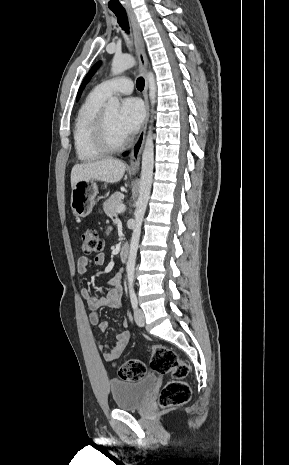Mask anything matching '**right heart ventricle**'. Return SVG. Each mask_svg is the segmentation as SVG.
Returning a JSON list of instances; mask_svg holds the SVG:
<instances>
[{
  "mask_svg": "<svg viewBox=\"0 0 289 465\" xmlns=\"http://www.w3.org/2000/svg\"><path fill=\"white\" fill-rule=\"evenodd\" d=\"M107 97L96 88L89 93L80 106L74 121L73 140L76 155L82 162H92L107 152L101 150L94 140V125Z\"/></svg>",
  "mask_w": 289,
  "mask_h": 465,
  "instance_id": "right-heart-ventricle-1",
  "label": "right heart ventricle"
}]
</instances>
